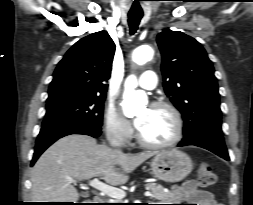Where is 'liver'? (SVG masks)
Here are the masks:
<instances>
[{"mask_svg": "<svg viewBox=\"0 0 253 205\" xmlns=\"http://www.w3.org/2000/svg\"><path fill=\"white\" fill-rule=\"evenodd\" d=\"M152 152L125 154L87 135H68L50 146L31 172V198L34 202H73L79 193L68 178L88 180L101 177L107 184H125L129 176ZM116 166H120L116 168Z\"/></svg>", "mask_w": 253, "mask_h": 205, "instance_id": "6515ba94", "label": "liver"}]
</instances>
